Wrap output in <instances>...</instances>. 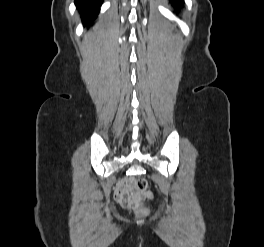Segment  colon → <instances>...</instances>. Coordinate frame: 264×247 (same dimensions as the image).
I'll return each mask as SVG.
<instances>
[{"instance_id":"5ec220e1","label":"colon","mask_w":264,"mask_h":247,"mask_svg":"<svg viewBox=\"0 0 264 247\" xmlns=\"http://www.w3.org/2000/svg\"><path fill=\"white\" fill-rule=\"evenodd\" d=\"M130 186L133 192L119 198L121 205L126 208H132L137 215H147L148 208L145 205V200L151 198V194L148 192L147 180L143 178L131 180Z\"/></svg>"}]
</instances>
